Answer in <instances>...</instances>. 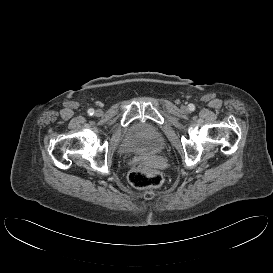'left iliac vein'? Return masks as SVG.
Returning a JSON list of instances; mask_svg holds the SVG:
<instances>
[{
	"mask_svg": "<svg viewBox=\"0 0 273 273\" xmlns=\"http://www.w3.org/2000/svg\"><path fill=\"white\" fill-rule=\"evenodd\" d=\"M186 109H187V108H186L185 106L182 107V110H183V111H186Z\"/></svg>",
	"mask_w": 273,
	"mask_h": 273,
	"instance_id": "left-iliac-vein-1",
	"label": "left iliac vein"
}]
</instances>
